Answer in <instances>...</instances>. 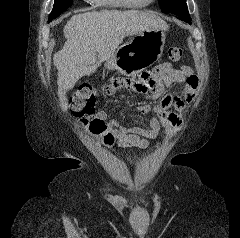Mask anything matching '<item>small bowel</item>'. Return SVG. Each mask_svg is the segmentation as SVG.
<instances>
[{"label":"small bowel","mask_w":240,"mask_h":238,"mask_svg":"<svg viewBox=\"0 0 240 238\" xmlns=\"http://www.w3.org/2000/svg\"><path fill=\"white\" fill-rule=\"evenodd\" d=\"M185 83V87L177 96L164 95L156 105L143 104L138 106L142 114L153 112L156 116L150 118L148 126L120 125L114 117H109L104 111H98L94 117L105 121L107 132L120 147L148 148V139H154L162 130L167 138L172 137L182 125V116L186 103L194 97L198 85V78L188 66L173 67L170 63H163L155 67L150 74L143 73L135 80L115 79L105 89L104 95L110 96L126 88L134 93L159 98L164 89L172 83ZM175 111H171V108Z\"/></svg>","instance_id":"obj_1"}]
</instances>
